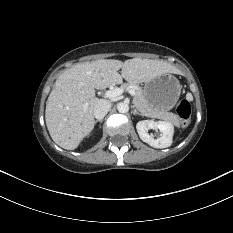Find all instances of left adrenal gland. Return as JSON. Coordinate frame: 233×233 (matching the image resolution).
<instances>
[{
	"mask_svg": "<svg viewBox=\"0 0 233 233\" xmlns=\"http://www.w3.org/2000/svg\"><path fill=\"white\" fill-rule=\"evenodd\" d=\"M132 113H133L134 115H140V116H143L141 113H139V112L134 108V106H133Z\"/></svg>",
	"mask_w": 233,
	"mask_h": 233,
	"instance_id": "a2214340",
	"label": "left adrenal gland"
}]
</instances>
